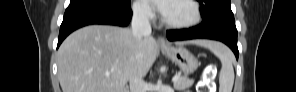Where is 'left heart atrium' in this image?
<instances>
[{
	"label": "left heart atrium",
	"mask_w": 296,
	"mask_h": 92,
	"mask_svg": "<svg viewBox=\"0 0 296 92\" xmlns=\"http://www.w3.org/2000/svg\"><path fill=\"white\" fill-rule=\"evenodd\" d=\"M149 2L152 3L163 16L167 14L171 3L164 0H153Z\"/></svg>",
	"instance_id": "1"
}]
</instances>
